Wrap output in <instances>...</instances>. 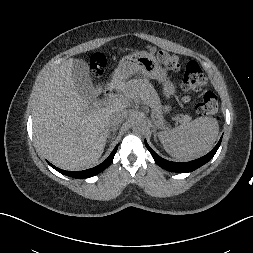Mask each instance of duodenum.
Segmentation results:
<instances>
[{
    "instance_id": "obj_1",
    "label": "duodenum",
    "mask_w": 253,
    "mask_h": 253,
    "mask_svg": "<svg viewBox=\"0 0 253 253\" xmlns=\"http://www.w3.org/2000/svg\"><path fill=\"white\" fill-rule=\"evenodd\" d=\"M111 95V90L108 88L106 91H105V96H110Z\"/></svg>"
}]
</instances>
